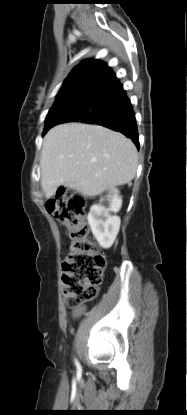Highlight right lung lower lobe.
I'll return each instance as SVG.
<instances>
[{"mask_svg":"<svg viewBox=\"0 0 187 415\" xmlns=\"http://www.w3.org/2000/svg\"><path fill=\"white\" fill-rule=\"evenodd\" d=\"M66 122L95 123L119 131L139 148L132 105L119 79L107 65L75 84L65 102L50 114L47 131Z\"/></svg>","mask_w":187,"mask_h":415,"instance_id":"1","label":"right lung lower lobe"}]
</instances>
